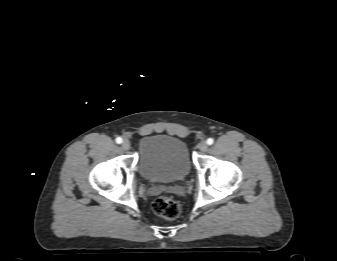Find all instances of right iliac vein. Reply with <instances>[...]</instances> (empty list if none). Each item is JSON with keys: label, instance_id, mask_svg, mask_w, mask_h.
Here are the masks:
<instances>
[{"label": "right iliac vein", "instance_id": "obj_1", "mask_svg": "<svg viewBox=\"0 0 337 261\" xmlns=\"http://www.w3.org/2000/svg\"><path fill=\"white\" fill-rule=\"evenodd\" d=\"M122 148L124 150H129L130 149V142L128 140H125L122 142Z\"/></svg>", "mask_w": 337, "mask_h": 261}]
</instances>
